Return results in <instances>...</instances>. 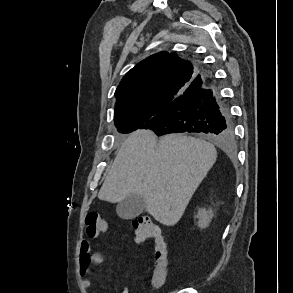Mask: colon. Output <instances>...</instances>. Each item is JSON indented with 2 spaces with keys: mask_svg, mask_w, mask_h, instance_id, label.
<instances>
[{
  "mask_svg": "<svg viewBox=\"0 0 293 293\" xmlns=\"http://www.w3.org/2000/svg\"><path fill=\"white\" fill-rule=\"evenodd\" d=\"M86 232L91 238L109 231V224L100 212H88L85 218ZM132 233L137 243L155 241L151 283L154 289H160L168 272L167 249L159 226L148 216H139L132 221Z\"/></svg>",
  "mask_w": 293,
  "mask_h": 293,
  "instance_id": "colon-1",
  "label": "colon"
}]
</instances>
